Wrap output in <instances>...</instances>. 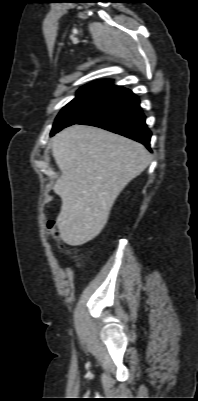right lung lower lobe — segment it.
Here are the masks:
<instances>
[{
	"label": "right lung lower lobe",
	"mask_w": 198,
	"mask_h": 401,
	"mask_svg": "<svg viewBox=\"0 0 198 401\" xmlns=\"http://www.w3.org/2000/svg\"><path fill=\"white\" fill-rule=\"evenodd\" d=\"M76 124L97 126L115 132L144 144L150 150L151 132L145 124L139 99L123 87L110 91L95 111Z\"/></svg>",
	"instance_id": "obj_1"
}]
</instances>
